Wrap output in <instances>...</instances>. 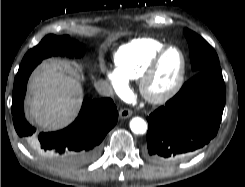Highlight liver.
Instances as JSON below:
<instances>
[{"label": "liver", "instance_id": "obj_1", "mask_svg": "<svg viewBox=\"0 0 245 187\" xmlns=\"http://www.w3.org/2000/svg\"><path fill=\"white\" fill-rule=\"evenodd\" d=\"M27 114L38 126L57 130L67 126L77 115L83 91L69 63L51 59L42 63L29 83Z\"/></svg>", "mask_w": 245, "mask_h": 187}]
</instances>
